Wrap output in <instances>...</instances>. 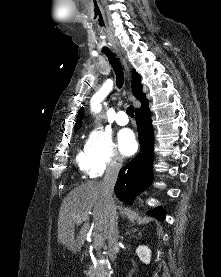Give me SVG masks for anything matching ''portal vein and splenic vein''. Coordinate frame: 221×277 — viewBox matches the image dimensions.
Returning a JSON list of instances; mask_svg holds the SVG:
<instances>
[{
	"instance_id": "1",
	"label": "portal vein and splenic vein",
	"mask_w": 221,
	"mask_h": 277,
	"mask_svg": "<svg viewBox=\"0 0 221 277\" xmlns=\"http://www.w3.org/2000/svg\"><path fill=\"white\" fill-rule=\"evenodd\" d=\"M89 219L88 216L80 218L77 220V224L82 223L83 221H87ZM103 244V237L101 234H97L94 238V245L96 248H100Z\"/></svg>"
}]
</instances>
